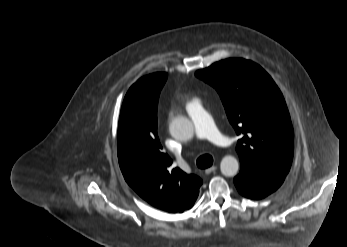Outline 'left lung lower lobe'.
<instances>
[{
    "label": "left lung lower lobe",
    "instance_id": "1",
    "mask_svg": "<svg viewBox=\"0 0 347 247\" xmlns=\"http://www.w3.org/2000/svg\"><path fill=\"white\" fill-rule=\"evenodd\" d=\"M285 179L281 174H252L240 170L234 178L237 190L245 197L262 199L276 191Z\"/></svg>",
    "mask_w": 347,
    "mask_h": 247
}]
</instances>
